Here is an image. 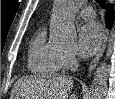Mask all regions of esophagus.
I'll use <instances>...</instances> for the list:
<instances>
[{
  "label": "esophagus",
  "instance_id": "34e87169",
  "mask_svg": "<svg viewBox=\"0 0 115 99\" xmlns=\"http://www.w3.org/2000/svg\"><path fill=\"white\" fill-rule=\"evenodd\" d=\"M108 36H109V32H106L105 36H104V40L102 43L101 48L99 49L98 53L96 54L95 58L92 60V62L90 63V66L88 68V73H92V71L95 69V67L97 66L100 58L102 57L106 46H107V42H108Z\"/></svg>",
  "mask_w": 115,
  "mask_h": 99
}]
</instances>
